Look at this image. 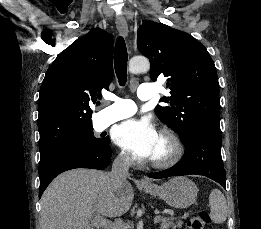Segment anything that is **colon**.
Wrapping results in <instances>:
<instances>
[{
	"instance_id": "obj_1",
	"label": "colon",
	"mask_w": 261,
	"mask_h": 229,
	"mask_svg": "<svg viewBox=\"0 0 261 229\" xmlns=\"http://www.w3.org/2000/svg\"><path fill=\"white\" fill-rule=\"evenodd\" d=\"M210 217L204 210H198L191 214L186 220V229H207Z\"/></svg>"
}]
</instances>
